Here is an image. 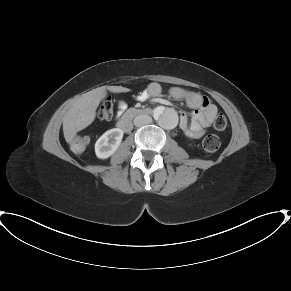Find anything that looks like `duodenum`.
Listing matches in <instances>:
<instances>
[{"label":"duodenum","mask_w":291,"mask_h":291,"mask_svg":"<svg viewBox=\"0 0 291 291\" xmlns=\"http://www.w3.org/2000/svg\"><path fill=\"white\" fill-rule=\"evenodd\" d=\"M152 113L150 108H132L128 109L118 122V127L123 132H128L131 128L130 119L135 116H145Z\"/></svg>","instance_id":"obj_1"}]
</instances>
